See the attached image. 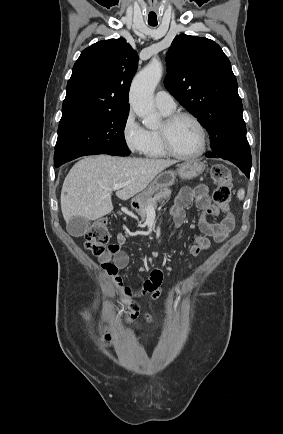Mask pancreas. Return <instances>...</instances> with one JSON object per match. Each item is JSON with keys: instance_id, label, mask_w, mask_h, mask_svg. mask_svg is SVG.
Returning a JSON list of instances; mask_svg holds the SVG:
<instances>
[{"instance_id": "cf45deb5", "label": "pancreas", "mask_w": 283, "mask_h": 434, "mask_svg": "<svg viewBox=\"0 0 283 434\" xmlns=\"http://www.w3.org/2000/svg\"><path fill=\"white\" fill-rule=\"evenodd\" d=\"M171 195V190L169 188L162 189L158 193L154 195V197L150 198L147 203L144 205L139 206L138 209H136V212L140 215L141 220L144 221L149 207H155L157 202L162 201L164 199H168Z\"/></svg>"}]
</instances>
